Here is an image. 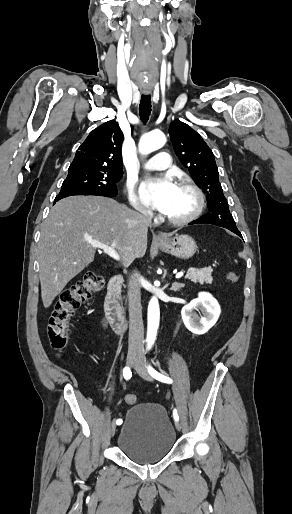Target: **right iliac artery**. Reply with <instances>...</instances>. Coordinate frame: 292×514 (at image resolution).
I'll return each instance as SVG.
<instances>
[{
  "label": "right iliac artery",
  "instance_id": "obj_1",
  "mask_svg": "<svg viewBox=\"0 0 292 514\" xmlns=\"http://www.w3.org/2000/svg\"><path fill=\"white\" fill-rule=\"evenodd\" d=\"M123 376H124V378H125L126 380H129V379L131 378L132 373H131V370H130V368H129V367H125V368L123 369ZM122 422H123V421H122V419H117V420H116V424H117V425L122 424Z\"/></svg>",
  "mask_w": 292,
  "mask_h": 514
}]
</instances>
